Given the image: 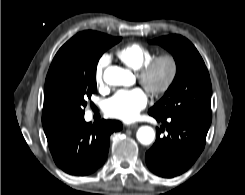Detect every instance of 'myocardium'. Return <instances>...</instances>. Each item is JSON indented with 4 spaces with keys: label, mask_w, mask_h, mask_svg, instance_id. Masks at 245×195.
<instances>
[{
    "label": "myocardium",
    "mask_w": 245,
    "mask_h": 195,
    "mask_svg": "<svg viewBox=\"0 0 245 195\" xmlns=\"http://www.w3.org/2000/svg\"><path fill=\"white\" fill-rule=\"evenodd\" d=\"M160 64H165L167 66V74L162 83L155 85L152 82V75ZM177 75L178 61L171 53H164L153 57L137 71L140 83L153 95H163L169 91L174 84Z\"/></svg>",
    "instance_id": "obj_1"
}]
</instances>
